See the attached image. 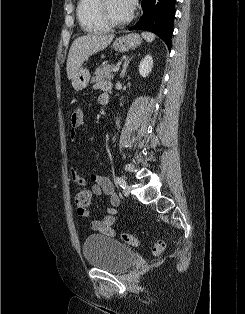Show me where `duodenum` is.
Masks as SVG:
<instances>
[{
	"mask_svg": "<svg viewBox=\"0 0 245 314\" xmlns=\"http://www.w3.org/2000/svg\"><path fill=\"white\" fill-rule=\"evenodd\" d=\"M102 99L107 101V97L105 95L102 96Z\"/></svg>",
	"mask_w": 245,
	"mask_h": 314,
	"instance_id": "1",
	"label": "duodenum"
}]
</instances>
